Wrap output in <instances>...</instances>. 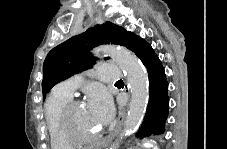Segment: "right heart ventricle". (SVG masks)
I'll return each mask as SVG.
<instances>
[{
  "instance_id": "right-heart-ventricle-1",
  "label": "right heart ventricle",
  "mask_w": 227,
  "mask_h": 149,
  "mask_svg": "<svg viewBox=\"0 0 227 149\" xmlns=\"http://www.w3.org/2000/svg\"><path fill=\"white\" fill-rule=\"evenodd\" d=\"M70 100V95L53 90L45 102L44 114L52 149H69L76 145L65 137L60 123L61 111Z\"/></svg>"
}]
</instances>
